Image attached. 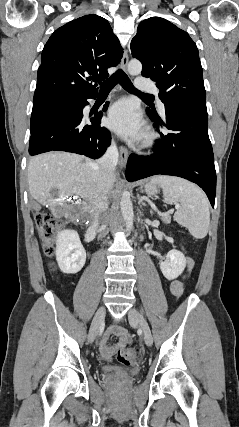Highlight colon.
<instances>
[{
  "instance_id": "obj_1",
  "label": "colon",
  "mask_w": 239,
  "mask_h": 427,
  "mask_svg": "<svg viewBox=\"0 0 239 427\" xmlns=\"http://www.w3.org/2000/svg\"><path fill=\"white\" fill-rule=\"evenodd\" d=\"M36 223L42 239L45 242V253L48 256H52L54 253L53 249V237L57 231L61 228V223L56 220L53 216L48 213H40L36 216ZM193 266V263H192ZM191 266V268H192ZM162 267L161 265L159 266ZM142 355V350L137 347H126L121 348L116 355L117 361L123 365H135L138 363Z\"/></svg>"
}]
</instances>
